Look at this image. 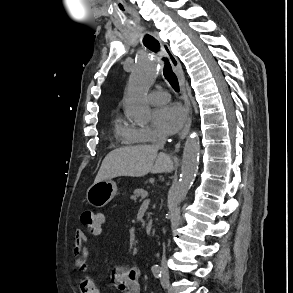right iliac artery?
<instances>
[{"instance_id":"82829eb1","label":"right iliac artery","mask_w":293,"mask_h":293,"mask_svg":"<svg viewBox=\"0 0 293 293\" xmlns=\"http://www.w3.org/2000/svg\"><path fill=\"white\" fill-rule=\"evenodd\" d=\"M152 272H153V275H154L156 278H160V277H161L162 270H161L160 267H153V268H152Z\"/></svg>"}]
</instances>
